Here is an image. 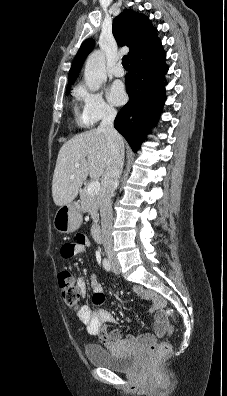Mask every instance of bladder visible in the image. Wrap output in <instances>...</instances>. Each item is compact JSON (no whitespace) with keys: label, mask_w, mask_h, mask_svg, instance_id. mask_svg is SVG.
Returning a JSON list of instances; mask_svg holds the SVG:
<instances>
[{"label":"bladder","mask_w":227,"mask_h":396,"mask_svg":"<svg viewBox=\"0 0 227 396\" xmlns=\"http://www.w3.org/2000/svg\"><path fill=\"white\" fill-rule=\"evenodd\" d=\"M85 356L91 365L114 372L130 371L138 362L134 354H121L94 344L85 347Z\"/></svg>","instance_id":"31cf9c89"}]
</instances>
